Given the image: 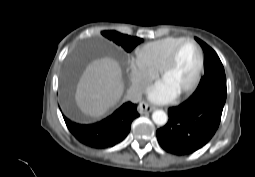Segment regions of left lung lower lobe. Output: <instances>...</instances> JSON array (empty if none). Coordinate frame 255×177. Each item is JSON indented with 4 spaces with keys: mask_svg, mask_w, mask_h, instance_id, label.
Listing matches in <instances>:
<instances>
[{
    "mask_svg": "<svg viewBox=\"0 0 255 177\" xmlns=\"http://www.w3.org/2000/svg\"><path fill=\"white\" fill-rule=\"evenodd\" d=\"M226 96L207 92L191 96L169 111L168 123L157 130L161 147L174 155L192 154L206 145L221 121Z\"/></svg>",
    "mask_w": 255,
    "mask_h": 177,
    "instance_id": "0a47b994",
    "label": "left lung lower lobe"
}]
</instances>
